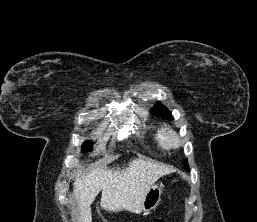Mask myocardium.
Listing matches in <instances>:
<instances>
[{"instance_id":"obj_1","label":"myocardium","mask_w":257,"mask_h":222,"mask_svg":"<svg viewBox=\"0 0 257 222\" xmlns=\"http://www.w3.org/2000/svg\"><path fill=\"white\" fill-rule=\"evenodd\" d=\"M163 135L167 146L171 148H178L181 145V140L174 129L166 128L163 132Z\"/></svg>"}]
</instances>
